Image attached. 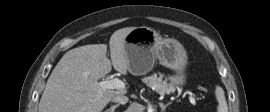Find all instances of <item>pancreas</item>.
<instances>
[{
	"label": "pancreas",
	"mask_w": 270,
	"mask_h": 112,
	"mask_svg": "<svg viewBox=\"0 0 270 112\" xmlns=\"http://www.w3.org/2000/svg\"><path fill=\"white\" fill-rule=\"evenodd\" d=\"M163 74L159 76L155 73L151 76L145 77L143 82L146 83L149 87L154 89L158 94L170 93L173 90V86L168 84L165 80L163 81Z\"/></svg>",
	"instance_id": "pancreas-1"
}]
</instances>
